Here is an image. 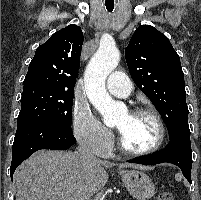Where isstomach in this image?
Here are the masks:
<instances>
[{
	"label": "stomach",
	"instance_id": "1",
	"mask_svg": "<svg viewBox=\"0 0 201 200\" xmlns=\"http://www.w3.org/2000/svg\"><path fill=\"white\" fill-rule=\"evenodd\" d=\"M128 192L137 200H148L155 194V186L148 175L141 171H119Z\"/></svg>",
	"mask_w": 201,
	"mask_h": 200
}]
</instances>
